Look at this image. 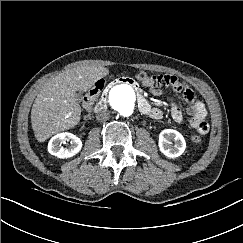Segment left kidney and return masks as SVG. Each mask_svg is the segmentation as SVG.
<instances>
[{"instance_id":"left-kidney-1","label":"left kidney","mask_w":243,"mask_h":243,"mask_svg":"<svg viewBox=\"0 0 243 243\" xmlns=\"http://www.w3.org/2000/svg\"><path fill=\"white\" fill-rule=\"evenodd\" d=\"M174 142V145H172ZM158 146L160 151L169 158L182 155L186 149V142L181 133L173 129H164L159 134Z\"/></svg>"}]
</instances>
